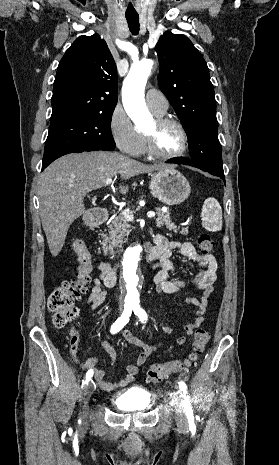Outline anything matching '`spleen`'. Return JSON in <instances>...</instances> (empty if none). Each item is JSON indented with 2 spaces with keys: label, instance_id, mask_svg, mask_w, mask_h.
<instances>
[{
  "label": "spleen",
  "instance_id": "obj_1",
  "mask_svg": "<svg viewBox=\"0 0 279 465\" xmlns=\"http://www.w3.org/2000/svg\"><path fill=\"white\" fill-rule=\"evenodd\" d=\"M202 224L208 231L216 232L222 228V210L218 201L214 198L205 200L202 207Z\"/></svg>",
  "mask_w": 279,
  "mask_h": 465
}]
</instances>
